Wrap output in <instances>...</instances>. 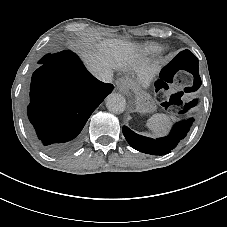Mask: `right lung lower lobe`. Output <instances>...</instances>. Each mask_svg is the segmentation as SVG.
Wrapping results in <instances>:
<instances>
[{
	"label": "right lung lower lobe",
	"instance_id": "obj_1",
	"mask_svg": "<svg viewBox=\"0 0 227 227\" xmlns=\"http://www.w3.org/2000/svg\"><path fill=\"white\" fill-rule=\"evenodd\" d=\"M32 75L28 118L38 142L60 156L80 143V132L114 86L93 77L71 51L47 54Z\"/></svg>",
	"mask_w": 227,
	"mask_h": 227
}]
</instances>
